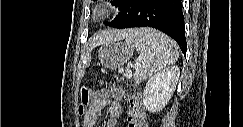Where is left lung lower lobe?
I'll return each instance as SVG.
<instances>
[{"instance_id":"1","label":"left lung lower lobe","mask_w":243,"mask_h":127,"mask_svg":"<svg viewBox=\"0 0 243 127\" xmlns=\"http://www.w3.org/2000/svg\"><path fill=\"white\" fill-rule=\"evenodd\" d=\"M120 13L108 25L115 28L153 27L170 37L186 54L184 16L181 0H126Z\"/></svg>"}]
</instances>
